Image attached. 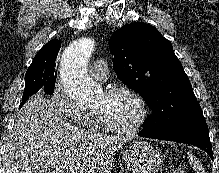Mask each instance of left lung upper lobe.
<instances>
[{
    "label": "left lung upper lobe",
    "mask_w": 219,
    "mask_h": 173,
    "mask_svg": "<svg viewBox=\"0 0 219 173\" xmlns=\"http://www.w3.org/2000/svg\"><path fill=\"white\" fill-rule=\"evenodd\" d=\"M109 47L118 78L137 91L154 112L141 132L159 135L206 123L172 44L156 28L131 23L113 33Z\"/></svg>",
    "instance_id": "1"
}]
</instances>
